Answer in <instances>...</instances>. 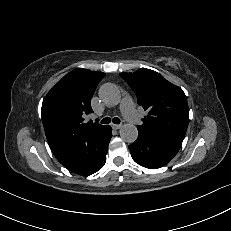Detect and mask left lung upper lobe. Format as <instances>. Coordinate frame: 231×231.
Segmentation results:
<instances>
[{
  "mask_svg": "<svg viewBox=\"0 0 231 231\" xmlns=\"http://www.w3.org/2000/svg\"><path fill=\"white\" fill-rule=\"evenodd\" d=\"M120 76L135 92L138 104L148 111L143 124L137 126L138 131L181 144L189 121L183 90L146 68Z\"/></svg>",
  "mask_w": 231,
  "mask_h": 231,
  "instance_id": "5c2ea615",
  "label": "left lung upper lobe"
}]
</instances>
